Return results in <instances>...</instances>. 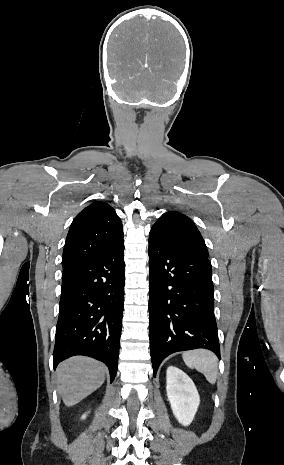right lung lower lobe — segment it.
Listing matches in <instances>:
<instances>
[{
    "mask_svg": "<svg viewBox=\"0 0 284 465\" xmlns=\"http://www.w3.org/2000/svg\"><path fill=\"white\" fill-rule=\"evenodd\" d=\"M124 240L109 252L63 271L54 368L85 355L104 362L113 381L124 309Z\"/></svg>",
    "mask_w": 284,
    "mask_h": 465,
    "instance_id": "right-lung-lower-lobe-1",
    "label": "right lung lower lobe"
}]
</instances>
